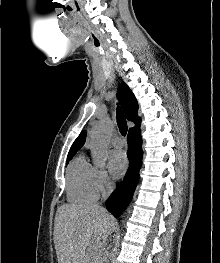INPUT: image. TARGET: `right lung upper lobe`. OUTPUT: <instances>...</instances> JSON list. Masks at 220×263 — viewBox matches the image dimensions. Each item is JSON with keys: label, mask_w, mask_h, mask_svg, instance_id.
I'll use <instances>...</instances> for the list:
<instances>
[{"label": "right lung upper lobe", "mask_w": 220, "mask_h": 263, "mask_svg": "<svg viewBox=\"0 0 220 263\" xmlns=\"http://www.w3.org/2000/svg\"><path fill=\"white\" fill-rule=\"evenodd\" d=\"M118 98L122 104L127 119L133 121L136 124V126L131 128L129 132L139 130L141 119L137 116L138 103L133 92L124 82H122L118 87ZM85 140L86 132L83 131L72 144L68 156L75 155L76 152L84 145Z\"/></svg>", "instance_id": "obj_1"}]
</instances>
